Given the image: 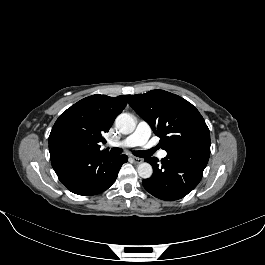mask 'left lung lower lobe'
Here are the masks:
<instances>
[{"label": "left lung lower lobe", "mask_w": 265, "mask_h": 265, "mask_svg": "<svg viewBox=\"0 0 265 265\" xmlns=\"http://www.w3.org/2000/svg\"><path fill=\"white\" fill-rule=\"evenodd\" d=\"M158 159L146 158L153 167V175L142 181L153 196L166 200H178L191 192L200 182L210 156V143H200L177 151L167 152Z\"/></svg>", "instance_id": "left-lung-lower-lobe-1"}]
</instances>
